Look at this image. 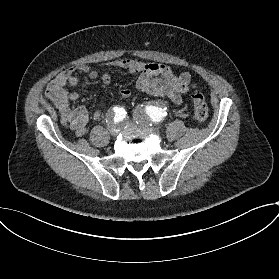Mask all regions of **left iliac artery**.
Listing matches in <instances>:
<instances>
[{
  "mask_svg": "<svg viewBox=\"0 0 279 279\" xmlns=\"http://www.w3.org/2000/svg\"><path fill=\"white\" fill-rule=\"evenodd\" d=\"M149 116L152 119L153 122H161L163 118L167 115L166 109L156 108V107H150L149 109Z\"/></svg>",
  "mask_w": 279,
  "mask_h": 279,
  "instance_id": "1",
  "label": "left iliac artery"
}]
</instances>
